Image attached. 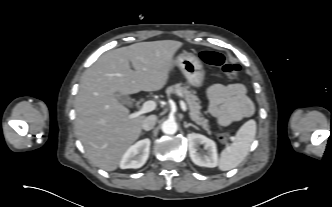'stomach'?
I'll list each match as a JSON object with an SVG mask.
<instances>
[{
  "instance_id": "stomach-1",
  "label": "stomach",
  "mask_w": 332,
  "mask_h": 207,
  "mask_svg": "<svg viewBox=\"0 0 332 207\" xmlns=\"http://www.w3.org/2000/svg\"><path fill=\"white\" fill-rule=\"evenodd\" d=\"M173 65L181 70L191 86L195 88L203 86L205 71L201 60L196 55L187 52L180 54L173 60Z\"/></svg>"
}]
</instances>
